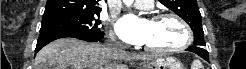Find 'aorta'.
<instances>
[{"label": "aorta", "mask_w": 246, "mask_h": 69, "mask_svg": "<svg viewBox=\"0 0 246 69\" xmlns=\"http://www.w3.org/2000/svg\"><path fill=\"white\" fill-rule=\"evenodd\" d=\"M123 2L129 6L133 3V0H123Z\"/></svg>", "instance_id": "obj_1"}]
</instances>
